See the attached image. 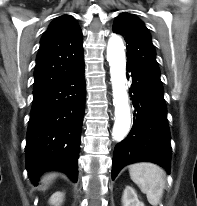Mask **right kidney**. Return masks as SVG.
I'll return each instance as SVG.
<instances>
[{"mask_svg": "<svg viewBox=\"0 0 197 206\" xmlns=\"http://www.w3.org/2000/svg\"><path fill=\"white\" fill-rule=\"evenodd\" d=\"M63 198H64V193L56 192L50 197L49 203L53 206H60V204L63 201Z\"/></svg>", "mask_w": 197, "mask_h": 206, "instance_id": "obj_1", "label": "right kidney"}]
</instances>
